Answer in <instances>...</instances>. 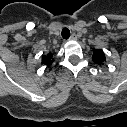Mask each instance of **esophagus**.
<instances>
[{"mask_svg": "<svg viewBox=\"0 0 127 127\" xmlns=\"http://www.w3.org/2000/svg\"><path fill=\"white\" fill-rule=\"evenodd\" d=\"M69 40H71V41L77 40V35H76L75 33H73V34L70 36Z\"/></svg>", "mask_w": 127, "mask_h": 127, "instance_id": "34e87169", "label": "esophagus"}]
</instances>
